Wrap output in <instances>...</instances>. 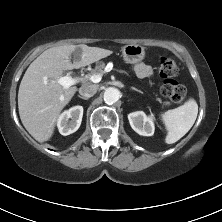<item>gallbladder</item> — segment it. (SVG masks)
<instances>
[{"mask_svg":"<svg viewBox=\"0 0 222 222\" xmlns=\"http://www.w3.org/2000/svg\"><path fill=\"white\" fill-rule=\"evenodd\" d=\"M76 52H80V49H79V48H77V49H76Z\"/></svg>","mask_w":222,"mask_h":222,"instance_id":"obj_1","label":"gallbladder"}]
</instances>
